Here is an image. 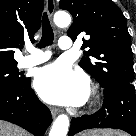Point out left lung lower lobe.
Returning <instances> with one entry per match:
<instances>
[{"instance_id": "0a47b994", "label": "left lung lower lobe", "mask_w": 136, "mask_h": 136, "mask_svg": "<svg viewBox=\"0 0 136 136\" xmlns=\"http://www.w3.org/2000/svg\"><path fill=\"white\" fill-rule=\"evenodd\" d=\"M92 128H114L136 136V99L132 83L104 87L103 107L93 115L73 118L68 136Z\"/></svg>"}]
</instances>
